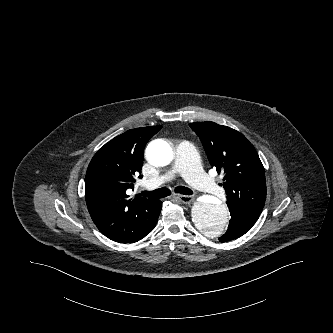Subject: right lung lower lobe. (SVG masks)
Here are the masks:
<instances>
[{
  "label": "right lung lower lobe",
  "mask_w": 333,
  "mask_h": 333,
  "mask_svg": "<svg viewBox=\"0 0 333 333\" xmlns=\"http://www.w3.org/2000/svg\"><path fill=\"white\" fill-rule=\"evenodd\" d=\"M161 208L162 202L159 200L154 201L133 217L125 231L119 236L112 238V240L122 243H134L139 241L154 229Z\"/></svg>",
  "instance_id": "right-lung-lower-lobe-1"
}]
</instances>
